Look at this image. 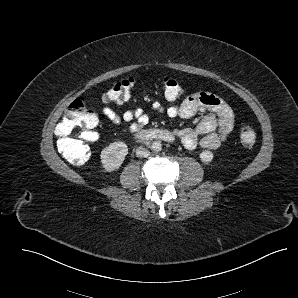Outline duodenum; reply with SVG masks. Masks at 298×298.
I'll return each mask as SVG.
<instances>
[{
    "label": "duodenum",
    "instance_id": "410a0bca",
    "mask_svg": "<svg viewBox=\"0 0 298 298\" xmlns=\"http://www.w3.org/2000/svg\"><path fill=\"white\" fill-rule=\"evenodd\" d=\"M136 138L140 141H173V135L167 131L162 130H149V131H142L136 134Z\"/></svg>",
    "mask_w": 298,
    "mask_h": 298
}]
</instances>
